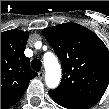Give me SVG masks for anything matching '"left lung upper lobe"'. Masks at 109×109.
I'll list each match as a JSON object with an SVG mask.
<instances>
[{
    "mask_svg": "<svg viewBox=\"0 0 109 109\" xmlns=\"http://www.w3.org/2000/svg\"><path fill=\"white\" fill-rule=\"evenodd\" d=\"M61 61L63 77L55 91L95 105L109 84V51L102 40L76 23L42 31Z\"/></svg>",
    "mask_w": 109,
    "mask_h": 109,
    "instance_id": "1",
    "label": "left lung upper lobe"
}]
</instances>
